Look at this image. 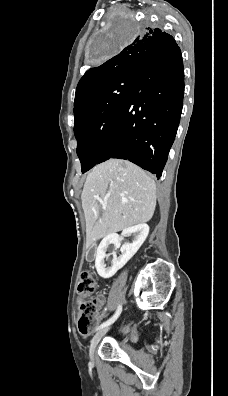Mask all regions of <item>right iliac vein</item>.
I'll list each match as a JSON object with an SVG mask.
<instances>
[{"label":"right iliac vein","instance_id":"63e3f726","mask_svg":"<svg viewBox=\"0 0 228 396\" xmlns=\"http://www.w3.org/2000/svg\"><path fill=\"white\" fill-rule=\"evenodd\" d=\"M109 329H110L109 326L104 327L103 329L98 331L95 334V336L92 338L91 343H90V348H89V356H90L91 360L94 359V352H95L97 344L103 338V336L109 331Z\"/></svg>","mask_w":228,"mask_h":396}]
</instances>
